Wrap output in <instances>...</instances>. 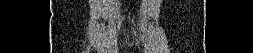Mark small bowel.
I'll use <instances>...</instances> for the list:
<instances>
[{"label":"small bowel","mask_w":253,"mask_h":53,"mask_svg":"<svg viewBox=\"0 0 253 53\" xmlns=\"http://www.w3.org/2000/svg\"><path fill=\"white\" fill-rule=\"evenodd\" d=\"M127 17H129L132 20V22L134 23V27L127 31L129 34L128 45L133 46L136 43L135 42L136 28L139 27L140 23L134 17H130L129 15Z\"/></svg>","instance_id":"small-bowel-1"}]
</instances>
